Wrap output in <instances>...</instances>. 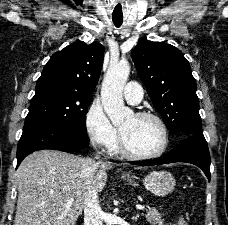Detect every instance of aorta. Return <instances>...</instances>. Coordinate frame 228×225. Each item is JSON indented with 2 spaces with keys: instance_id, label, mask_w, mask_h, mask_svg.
Instances as JSON below:
<instances>
[{
  "instance_id": "aorta-1",
  "label": "aorta",
  "mask_w": 228,
  "mask_h": 225,
  "mask_svg": "<svg viewBox=\"0 0 228 225\" xmlns=\"http://www.w3.org/2000/svg\"><path fill=\"white\" fill-rule=\"evenodd\" d=\"M130 68L128 60L110 62L102 82V104L114 127H120L127 117H133V110L124 106L122 96L124 84H126L130 74Z\"/></svg>"
}]
</instances>
